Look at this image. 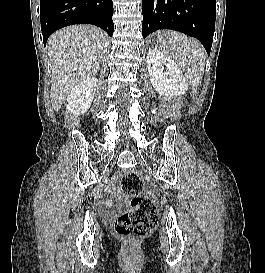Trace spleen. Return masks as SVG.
<instances>
[{
	"instance_id": "spleen-1",
	"label": "spleen",
	"mask_w": 265,
	"mask_h": 273,
	"mask_svg": "<svg viewBox=\"0 0 265 273\" xmlns=\"http://www.w3.org/2000/svg\"><path fill=\"white\" fill-rule=\"evenodd\" d=\"M157 41L160 50L173 58L185 71L189 83L192 86H198L201 83L205 66V52L201 44L175 31L160 33Z\"/></svg>"
}]
</instances>
